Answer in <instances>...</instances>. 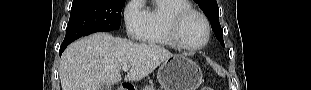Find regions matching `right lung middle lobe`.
<instances>
[{"mask_svg":"<svg viewBox=\"0 0 311 90\" xmlns=\"http://www.w3.org/2000/svg\"><path fill=\"white\" fill-rule=\"evenodd\" d=\"M125 0H73L63 44L94 32L120 28V15Z\"/></svg>","mask_w":311,"mask_h":90,"instance_id":"obj_1","label":"right lung middle lobe"}]
</instances>
